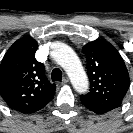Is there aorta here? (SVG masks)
Returning <instances> with one entry per match:
<instances>
[{
    "mask_svg": "<svg viewBox=\"0 0 133 133\" xmlns=\"http://www.w3.org/2000/svg\"><path fill=\"white\" fill-rule=\"evenodd\" d=\"M51 57L69 76L74 89L79 93L87 92L89 82L77 54L68 45L55 42L51 46Z\"/></svg>",
    "mask_w": 133,
    "mask_h": 133,
    "instance_id": "obj_1",
    "label": "aorta"
}]
</instances>
